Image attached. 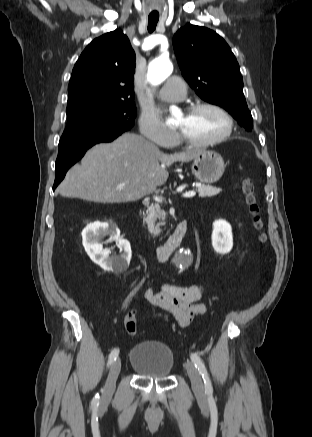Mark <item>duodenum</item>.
<instances>
[{
    "label": "duodenum",
    "mask_w": 312,
    "mask_h": 437,
    "mask_svg": "<svg viewBox=\"0 0 312 437\" xmlns=\"http://www.w3.org/2000/svg\"><path fill=\"white\" fill-rule=\"evenodd\" d=\"M187 225V220L184 219L180 221L169 240L165 244L153 248L155 259L157 261L165 262L170 258L184 238Z\"/></svg>",
    "instance_id": "duodenum-1"
}]
</instances>
